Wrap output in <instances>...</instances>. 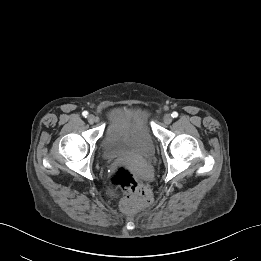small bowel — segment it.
<instances>
[{"label": "small bowel", "instance_id": "obj_1", "mask_svg": "<svg viewBox=\"0 0 261 261\" xmlns=\"http://www.w3.org/2000/svg\"><path fill=\"white\" fill-rule=\"evenodd\" d=\"M110 123L112 124H118L119 123V112L115 111L110 114Z\"/></svg>", "mask_w": 261, "mask_h": 261}]
</instances>
